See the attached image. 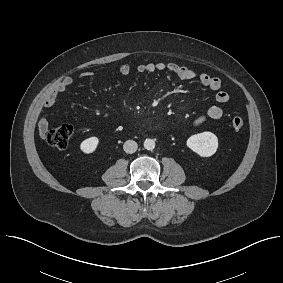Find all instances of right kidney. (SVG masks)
<instances>
[{
  "label": "right kidney",
  "instance_id": "1",
  "mask_svg": "<svg viewBox=\"0 0 283 283\" xmlns=\"http://www.w3.org/2000/svg\"><path fill=\"white\" fill-rule=\"evenodd\" d=\"M99 144V139L95 136L83 140L80 144V149L86 154L93 153Z\"/></svg>",
  "mask_w": 283,
  "mask_h": 283
}]
</instances>
